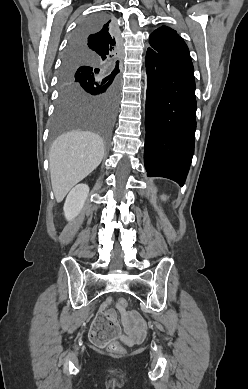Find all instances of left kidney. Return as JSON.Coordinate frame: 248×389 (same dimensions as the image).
Here are the masks:
<instances>
[{"label":"left kidney","mask_w":248,"mask_h":389,"mask_svg":"<svg viewBox=\"0 0 248 389\" xmlns=\"http://www.w3.org/2000/svg\"><path fill=\"white\" fill-rule=\"evenodd\" d=\"M162 199H164V200H165V199H166V196H162Z\"/></svg>","instance_id":"5707ae66"}]
</instances>
